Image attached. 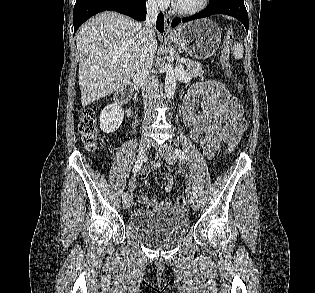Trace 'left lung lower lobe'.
I'll return each mask as SVG.
<instances>
[{
  "instance_id": "left-lung-lower-lobe-1",
  "label": "left lung lower lobe",
  "mask_w": 315,
  "mask_h": 293,
  "mask_svg": "<svg viewBox=\"0 0 315 293\" xmlns=\"http://www.w3.org/2000/svg\"><path fill=\"white\" fill-rule=\"evenodd\" d=\"M214 14H226L237 18L243 23L248 31V13L244 5V0H216L210 3L206 9L190 17L174 19L172 27L178 25L180 22H188L191 20L208 17Z\"/></svg>"
}]
</instances>
